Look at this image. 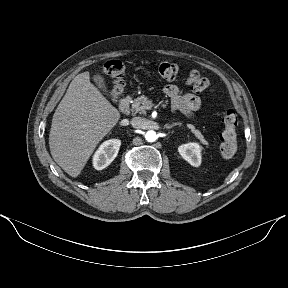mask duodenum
<instances>
[{"label":"duodenum","instance_id":"1","mask_svg":"<svg viewBox=\"0 0 288 288\" xmlns=\"http://www.w3.org/2000/svg\"><path fill=\"white\" fill-rule=\"evenodd\" d=\"M119 109L121 113L123 114H128L130 111V98L129 97H124L119 104Z\"/></svg>","mask_w":288,"mask_h":288}]
</instances>
